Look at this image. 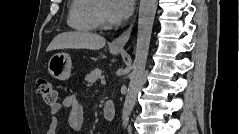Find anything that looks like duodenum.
Returning a JSON list of instances; mask_svg holds the SVG:
<instances>
[{
	"label": "duodenum",
	"mask_w": 239,
	"mask_h": 134,
	"mask_svg": "<svg viewBox=\"0 0 239 134\" xmlns=\"http://www.w3.org/2000/svg\"><path fill=\"white\" fill-rule=\"evenodd\" d=\"M115 105L113 103V101L111 100H106L104 102V106H103V116L104 119L108 122L113 121V119L115 118Z\"/></svg>",
	"instance_id": "obj_1"
}]
</instances>
